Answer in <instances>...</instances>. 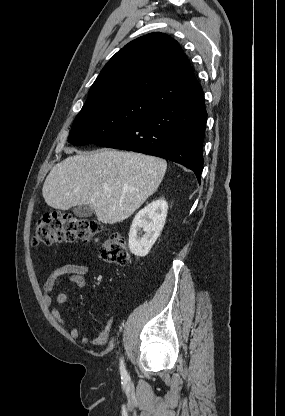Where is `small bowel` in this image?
<instances>
[{
  "label": "small bowel",
  "instance_id": "obj_1",
  "mask_svg": "<svg viewBox=\"0 0 285 416\" xmlns=\"http://www.w3.org/2000/svg\"><path fill=\"white\" fill-rule=\"evenodd\" d=\"M89 269L85 265L67 263L57 269L53 270L43 283V301L44 304L50 309L53 318L61 325H67L66 319L62 316L60 311L54 307L51 293L61 283L67 281L73 285V289L61 292L56 296V302L59 305L65 304L69 299L74 289H82L86 285V275ZM113 316L107 312L104 319L103 330L96 336L89 337L81 335L80 331L71 327L69 329V336L73 339H79L83 344H91L94 346H100L107 343L110 330L113 326Z\"/></svg>",
  "mask_w": 285,
  "mask_h": 416
}]
</instances>
